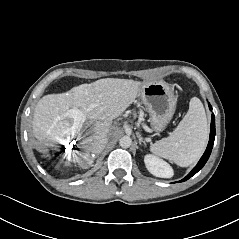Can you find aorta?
<instances>
[{"mask_svg": "<svg viewBox=\"0 0 239 239\" xmlns=\"http://www.w3.org/2000/svg\"><path fill=\"white\" fill-rule=\"evenodd\" d=\"M131 144H132V139L129 136H123L119 140V145L122 148H128L131 146Z\"/></svg>", "mask_w": 239, "mask_h": 239, "instance_id": "762f6f07", "label": "aorta"}]
</instances>
